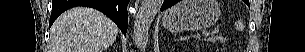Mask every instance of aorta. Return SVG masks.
Listing matches in <instances>:
<instances>
[{
	"instance_id": "aorta-1",
	"label": "aorta",
	"mask_w": 305,
	"mask_h": 52,
	"mask_svg": "<svg viewBox=\"0 0 305 52\" xmlns=\"http://www.w3.org/2000/svg\"><path fill=\"white\" fill-rule=\"evenodd\" d=\"M163 0H142L134 22V40L136 43H146L148 31L156 14L162 6Z\"/></svg>"
}]
</instances>
